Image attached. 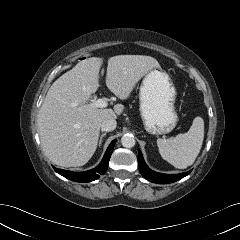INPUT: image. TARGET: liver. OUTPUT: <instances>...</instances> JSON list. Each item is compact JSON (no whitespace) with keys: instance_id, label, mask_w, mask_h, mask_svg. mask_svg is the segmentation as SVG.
I'll return each mask as SVG.
<instances>
[{"instance_id":"obj_1","label":"liver","mask_w":240,"mask_h":240,"mask_svg":"<svg viewBox=\"0 0 240 240\" xmlns=\"http://www.w3.org/2000/svg\"><path fill=\"white\" fill-rule=\"evenodd\" d=\"M102 64L103 58L98 57L79 62L51 85L39 110L37 125L43 153L58 166L85 165L96 151L101 123L116 119L124 109L122 105L112 110L88 104L99 88ZM158 67V61L151 56H113L108 60L106 85L125 100L136 83Z\"/></svg>"}]
</instances>
